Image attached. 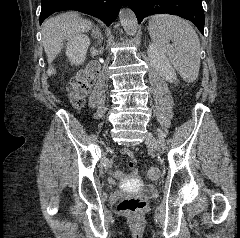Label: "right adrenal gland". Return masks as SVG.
Returning a JSON list of instances; mask_svg holds the SVG:
<instances>
[{"label":"right adrenal gland","mask_w":240,"mask_h":238,"mask_svg":"<svg viewBox=\"0 0 240 238\" xmlns=\"http://www.w3.org/2000/svg\"><path fill=\"white\" fill-rule=\"evenodd\" d=\"M91 30H92V37H93L94 39H97L98 45H101V43H102V41H103L102 32H101L100 29L97 28V27H94V28L92 27Z\"/></svg>","instance_id":"2a0ac1e0"}]
</instances>
